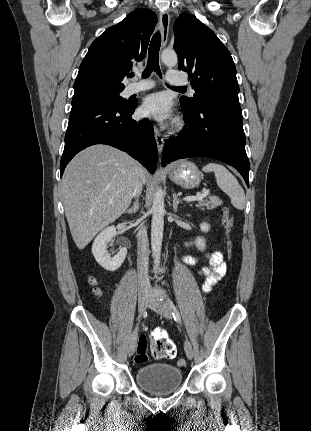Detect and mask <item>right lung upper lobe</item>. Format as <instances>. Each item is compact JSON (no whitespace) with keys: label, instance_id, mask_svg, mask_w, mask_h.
<instances>
[{"label":"right lung upper lobe","instance_id":"right-lung-upper-lobe-1","mask_svg":"<svg viewBox=\"0 0 311 431\" xmlns=\"http://www.w3.org/2000/svg\"><path fill=\"white\" fill-rule=\"evenodd\" d=\"M156 23L154 12L137 9L95 39L80 64L74 94L123 91L122 80L146 56Z\"/></svg>","mask_w":311,"mask_h":431}]
</instances>
